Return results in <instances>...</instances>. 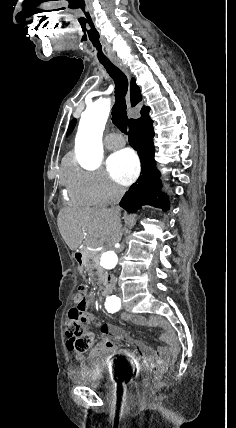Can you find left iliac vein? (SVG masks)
I'll use <instances>...</instances> for the list:
<instances>
[{
  "instance_id": "4c4485c4",
  "label": "left iliac vein",
  "mask_w": 236,
  "mask_h": 428,
  "mask_svg": "<svg viewBox=\"0 0 236 428\" xmlns=\"http://www.w3.org/2000/svg\"><path fill=\"white\" fill-rule=\"evenodd\" d=\"M119 298H120L121 301L124 300L123 297H122V294H119Z\"/></svg>"
}]
</instances>
